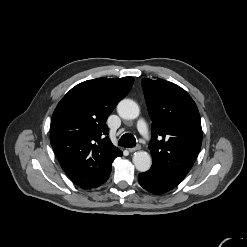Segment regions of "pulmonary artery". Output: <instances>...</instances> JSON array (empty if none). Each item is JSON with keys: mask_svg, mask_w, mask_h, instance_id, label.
<instances>
[{"mask_svg": "<svg viewBox=\"0 0 247 247\" xmlns=\"http://www.w3.org/2000/svg\"><path fill=\"white\" fill-rule=\"evenodd\" d=\"M138 130L139 132L145 137V138H148L149 136V130H148V126L146 124L145 121L143 120H140L138 122Z\"/></svg>", "mask_w": 247, "mask_h": 247, "instance_id": "pulmonary-artery-1", "label": "pulmonary artery"}]
</instances>
